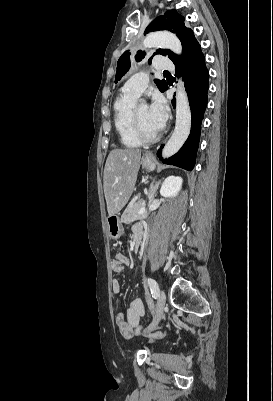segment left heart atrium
I'll return each mask as SVG.
<instances>
[{
	"instance_id": "left-heart-atrium-1",
	"label": "left heart atrium",
	"mask_w": 273,
	"mask_h": 401,
	"mask_svg": "<svg viewBox=\"0 0 273 401\" xmlns=\"http://www.w3.org/2000/svg\"><path fill=\"white\" fill-rule=\"evenodd\" d=\"M147 109L150 122L157 130H161L165 126L168 115L164 100L158 96L153 97Z\"/></svg>"
}]
</instances>
